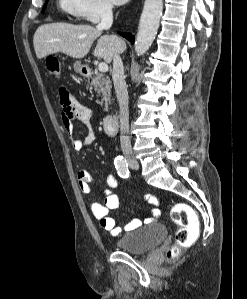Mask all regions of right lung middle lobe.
I'll use <instances>...</instances> for the list:
<instances>
[{"label":"right lung middle lobe","mask_w":247,"mask_h":299,"mask_svg":"<svg viewBox=\"0 0 247 299\" xmlns=\"http://www.w3.org/2000/svg\"><path fill=\"white\" fill-rule=\"evenodd\" d=\"M47 2H48V0H46V3H45L44 8H43V11H44L45 8H46Z\"/></svg>","instance_id":"dd1d6c3e"}]
</instances>
